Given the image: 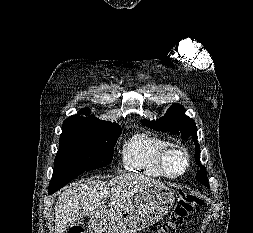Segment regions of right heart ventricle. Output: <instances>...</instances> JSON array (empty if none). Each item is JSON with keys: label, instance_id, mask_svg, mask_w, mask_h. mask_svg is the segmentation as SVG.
<instances>
[{"label": "right heart ventricle", "instance_id": "right-heart-ventricle-1", "mask_svg": "<svg viewBox=\"0 0 253 233\" xmlns=\"http://www.w3.org/2000/svg\"><path fill=\"white\" fill-rule=\"evenodd\" d=\"M168 147L167 141L147 130L136 132L123 143L122 165L128 171L162 177L164 175L157 165V158Z\"/></svg>", "mask_w": 253, "mask_h": 233}]
</instances>
